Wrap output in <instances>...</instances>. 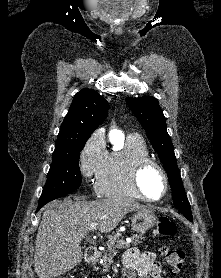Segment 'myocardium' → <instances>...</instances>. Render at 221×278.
I'll list each match as a JSON object with an SVG mask.
<instances>
[{
	"instance_id": "myocardium-1",
	"label": "myocardium",
	"mask_w": 221,
	"mask_h": 278,
	"mask_svg": "<svg viewBox=\"0 0 221 278\" xmlns=\"http://www.w3.org/2000/svg\"><path fill=\"white\" fill-rule=\"evenodd\" d=\"M150 168L156 169L160 173L163 179L164 190L163 193L158 198L150 197L146 193L144 186L142 184V177L144 173ZM131 184L134 191L140 196V198L149 202H158L162 200L167 194L169 188L168 177L164 168L158 162H156L150 157L141 158L134 162L131 168Z\"/></svg>"
}]
</instances>
